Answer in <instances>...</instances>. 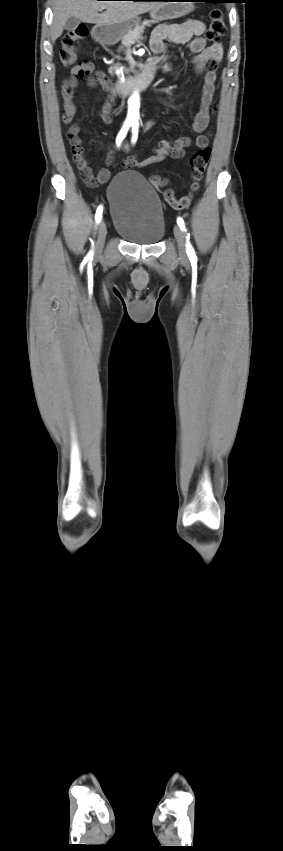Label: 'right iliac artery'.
<instances>
[{"mask_svg":"<svg viewBox=\"0 0 283 851\" xmlns=\"http://www.w3.org/2000/svg\"><path fill=\"white\" fill-rule=\"evenodd\" d=\"M129 127H130V124H124L123 125L122 129L120 130V132L118 133L117 138H116L117 146H120L121 142L123 141V139L125 138L128 130H129ZM102 211H103V207H102V205H100L97 208V211H96V214H95L96 223L100 222L101 217H102ZM89 256H92V251L89 253Z\"/></svg>","mask_w":283,"mask_h":851,"instance_id":"82829eb1","label":"right iliac artery"}]
</instances>
